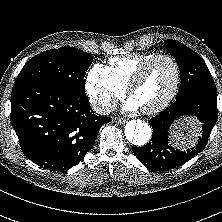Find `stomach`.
<instances>
[{
	"label": "stomach",
	"mask_w": 222,
	"mask_h": 222,
	"mask_svg": "<svg viewBox=\"0 0 222 222\" xmlns=\"http://www.w3.org/2000/svg\"><path fill=\"white\" fill-rule=\"evenodd\" d=\"M198 136V127L195 122L188 121L174 132L173 140L178 146H192Z\"/></svg>",
	"instance_id": "obj_1"
}]
</instances>
